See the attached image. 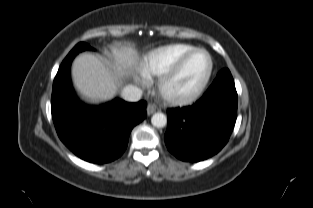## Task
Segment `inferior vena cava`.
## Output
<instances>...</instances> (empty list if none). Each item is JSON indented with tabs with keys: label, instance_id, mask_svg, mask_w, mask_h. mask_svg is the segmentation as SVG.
Masks as SVG:
<instances>
[{
	"label": "inferior vena cava",
	"instance_id": "1",
	"mask_svg": "<svg viewBox=\"0 0 313 208\" xmlns=\"http://www.w3.org/2000/svg\"><path fill=\"white\" fill-rule=\"evenodd\" d=\"M121 97L130 102L139 101L142 97V90L136 86L128 85L123 88Z\"/></svg>",
	"mask_w": 313,
	"mask_h": 208
}]
</instances>
